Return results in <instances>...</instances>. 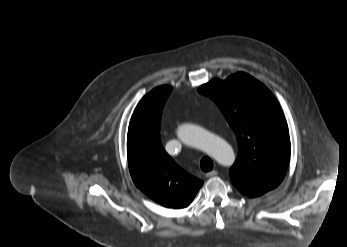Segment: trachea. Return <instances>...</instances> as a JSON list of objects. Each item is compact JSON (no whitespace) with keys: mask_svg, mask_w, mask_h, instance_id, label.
I'll return each instance as SVG.
<instances>
[{"mask_svg":"<svg viewBox=\"0 0 347 247\" xmlns=\"http://www.w3.org/2000/svg\"><path fill=\"white\" fill-rule=\"evenodd\" d=\"M202 171L209 172L213 168V162L209 157H203L200 161Z\"/></svg>","mask_w":347,"mask_h":247,"instance_id":"3493384b","label":"trachea"}]
</instances>
